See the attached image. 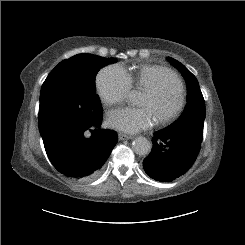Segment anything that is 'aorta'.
Instances as JSON below:
<instances>
[{"label":"aorta","instance_id":"1","mask_svg":"<svg viewBox=\"0 0 245 245\" xmlns=\"http://www.w3.org/2000/svg\"><path fill=\"white\" fill-rule=\"evenodd\" d=\"M128 100L137 105L140 103V94L137 91H131L128 95ZM132 148L136 154L147 155L151 151V143L145 137H137L132 143Z\"/></svg>","mask_w":245,"mask_h":245}]
</instances>
